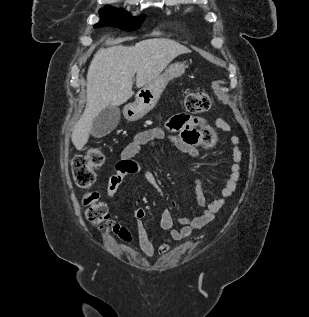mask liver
Returning <instances> with one entry per match:
<instances>
[{
    "mask_svg": "<svg viewBox=\"0 0 309 317\" xmlns=\"http://www.w3.org/2000/svg\"><path fill=\"white\" fill-rule=\"evenodd\" d=\"M190 52L187 47L165 38L98 50L88 68L86 107L72 130L71 140L76 149L81 150L88 142L93 121L103 109L122 105L132 97L135 74L136 86H146L173 59Z\"/></svg>",
    "mask_w": 309,
    "mask_h": 317,
    "instance_id": "6515ba94",
    "label": "liver"
}]
</instances>
